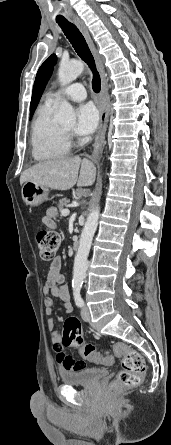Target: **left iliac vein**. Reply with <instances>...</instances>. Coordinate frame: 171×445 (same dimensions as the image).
I'll use <instances>...</instances> for the list:
<instances>
[{
    "label": "left iliac vein",
    "instance_id": "1",
    "mask_svg": "<svg viewBox=\"0 0 171 445\" xmlns=\"http://www.w3.org/2000/svg\"><path fill=\"white\" fill-rule=\"evenodd\" d=\"M81 317L85 322L90 321V311L87 306H83V308L81 309Z\"/></svg>",
    "mask_w": 171,
    "mask_h": 445
}]
</instances>
